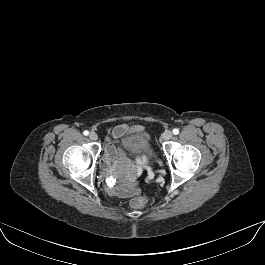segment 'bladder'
I'll list each match as a JSON object with an SVG mask.
<instances>
[{"mask_svg": "<svg viewBox=\"0 0 265 265\" xmlns=\"http://www.w3.org/2000/svg\"><path fill=\"white\" fill-rule=\"evenodd\" d=\"M126 151L131 155H145L150 159H155L156 154L151 143L141 135H132L122 139L121 146L117 153Z\"/></svg>", "mask_w": 265, "mask_h": 265, "instance_id": "31cf9c89", "label": "bladder"}]
</instances>
